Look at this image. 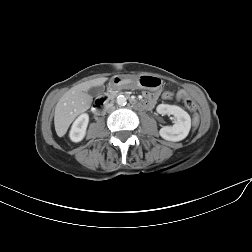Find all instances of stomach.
Instances as JSON below:
<instances>
[{
    "instance_id": "0dacf381",
    "label": "stomach",
    "mask_w": 252,
    "mask_h": 252,
    "mask_svg": "<svg viewBox=\"0 0 252 252\" xmlns=\"http://www.w3.org/2000/svg\"><path fill=\"white\" fill-rule=\"evenodd\" d=\"M110 83L113 86L132 85L139 89L156 91L160 88L161 82H159V78L157 76L151 74H141L134 78L115 75L112 77Z\"/></svg>"
}]
</instances>
